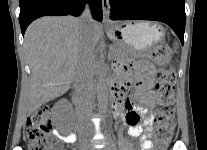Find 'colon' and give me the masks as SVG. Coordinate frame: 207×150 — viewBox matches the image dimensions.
Returning <instances> with one entry per match:
<instances>
[{
	"label": "colon",
	"mask_w": 207,
	"mask_h": 150,
	"mask_svg": "<svg viewBox=\"0 0 207 150\" xmlns=\"http://www.w3.org/2000/svg\"><path fill=\"white\" fill-rule=\"evenodd\" d=\"M170 50L165 44L157 45L152 53V60L159 66H164L169 60ZM174 88L175 73L172 69H161L156 74L155 90L158 104L155 115L154 138L157 150H165L175 128L174 122ZM50 111L42 107L31 114L26 123V135L29 150H61L58 140L50 133Z\"/></svg>",
	"instance_id": "1"
}]
</instances>
